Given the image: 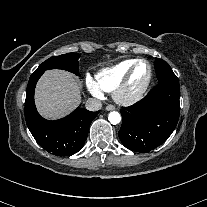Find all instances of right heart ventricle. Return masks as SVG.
<instances>
[{"label":"right heart ventricle","instance_id":"right-heart-ventricle-1","mask_svg":"<svg viewBox=\"0 0 207 207\" xmlns=\"http://www.w3.org/2000/svg\"><path fill=\"white\" fill-rule=\"evenodd\" d=\"M134 61L135 59H127L112 67L104 68L98 71L95 75L97 87L106 92L114 90Z\"/></svg>","mask_w":207,"mask_h":207}]
</instances>
